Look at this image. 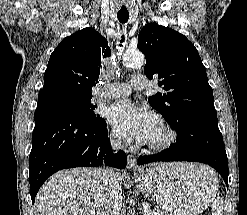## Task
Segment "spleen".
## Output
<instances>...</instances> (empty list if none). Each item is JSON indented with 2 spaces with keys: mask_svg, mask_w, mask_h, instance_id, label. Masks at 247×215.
<instances>
[{
  "mask_svg": "<svg viewBox=\"0 0 247 215\" xmlns=\"http://www.w3.org/2000/svg\"><path fill=\"white\" fill-rule=\"evenodd\" d=\"M212 215H223V200L216 198L212 205Z\"/></svg>",
  "mask_w": 247,
  "mask_h": 215,
  "instance_id": "obj_1",
  "label": "spleen"
}]
</instances>
